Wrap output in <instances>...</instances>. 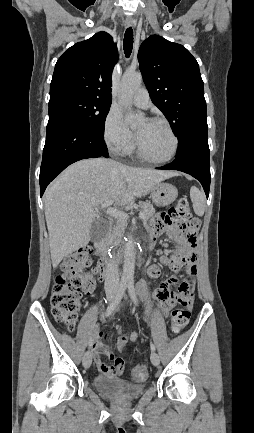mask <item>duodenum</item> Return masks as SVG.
Instances as JSON below:
<instances>
[{"mask_svg": "<svg viewBox=\"0 0 254 433\" xmlns=\"http://www.w3.org/2000/svg\"><path fill=\"white\" fill-rule=\"evenodd\" d=\"M151 244H152L151 239H149L145 243V248L149 249L151 247ZM96 248L98 251L104 250L103 246L99 243L96 244ZM115 259H116V257H113V260H115ZM111 263H112V260L109 257L104 256L100 259L99 264H98V272H99L101 279L104 280L106 278V276L108 275L109 270L111 268Z\"/></svg>", "mask_w": 254, "mask_h": 433, "instance_id": "obj_1", "label": "duodenum"}]
</instances>
